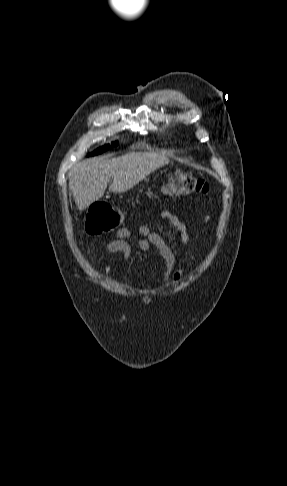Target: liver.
I'll list each match as a JSON object with an SVG mask.
<instances>
[{"label": "liver", "instance_id": "1", "mask_svg": "<svg viewBox=\"0 0 287 486\" xmlns=\"http://www.w3.org/2000/svg\"><path fill=\"white\" fill-rule=\"evenodd\" d=\"M168 163L169 159L164 155L139 152L113 159H90L73 170L69 179L70 195L78 208L84 210L104 195L112 178L109 191L122 193Z\"/></svg>", "mask_w": 287, "mask_h": 486}]
</instances>
